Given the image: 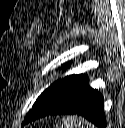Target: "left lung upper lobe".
Instances as JSON below:
<instances>
[{
	"label": "left lung upper lobe",
	"mask_w": 125,
	"mask_h": 128,
	"mask_svg": "<svg viewBox=\"0 0 125 128\" xmlns=\"http://www.w3.org/2000/svg\"><path fill=\"white\" fill-rule=\"evenodd\" d=\"M82 77V74L70 75L51 84V86L37 98L33 108L24 118L22 126L35 119L51 115L55 110L62 107Z\"/></svg>",
	"instance_id": "1"
}]
</instances>
